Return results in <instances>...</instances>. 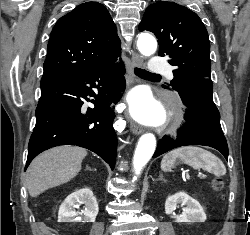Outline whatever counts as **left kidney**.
Instances as JSON below:
<instances>
[{"label":"left kidney","mask_w":250,"mask_h":235,"mask_svg":"<svg viewBox=\"0 0 250 235\" xmlns=\"http://www.w3.org/2000/svg\"><path fill=\"white\" fill-rule=\"evenodd\" d=\"M179 204L186 205V208L183 209L180 216L176 217L177 222H205L206 214L202 206L185 192H178L166 199L165 213L172 214Z\"/></svg>","instance_id":"5707ae66"}]
</instances>
